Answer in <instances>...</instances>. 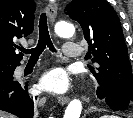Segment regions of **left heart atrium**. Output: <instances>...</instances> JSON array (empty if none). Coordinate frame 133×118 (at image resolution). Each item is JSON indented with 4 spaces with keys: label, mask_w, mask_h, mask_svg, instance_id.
Wrapping results in <instances>:
<instances>
[{
    "label": "left heart atrium",
    "mask_w": 133,
    "mask_h": 118,
    "mask_svg": "<svg viewBox=\"0 0 133 118\" xmlns=\"http://www.w3.org/2000/svg\"><path fill=\"white\" fill-rule=\"evenodd\" d=\"M39 86L44 91L60 94L70 88V81L65 70L54 68L42 76Z\"/></svg>",
    "instance_id": "39dd6f15"
}]
</instances>
